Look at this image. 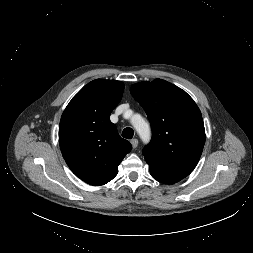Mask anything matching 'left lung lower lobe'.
Segmentation results:
<instances>
[{"mask_svg": "<svg viewBox=\"0 0 253 253\" xmlns=\"http://www.w3.org/2000/svg\"><path fill=\"white\" fill-rule=\"evenodd\" d=\"M150 174L153 178H155L157 181L165 183V184H174L180 180H182L179 177L168 175L165 173H162L160 171H157L155 169H150Z\"/></svg>", "mask_w": 253, "mask_h": 253, "instance_id": "left-lung-lower-lobe-1", "label": "left lung lower lobe"}]
</instances>
